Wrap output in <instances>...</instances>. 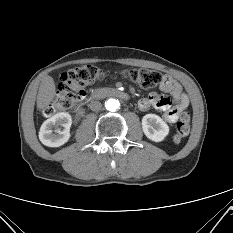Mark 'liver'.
Segmentation results:
<instances>
[{
  "label": "liver",
  "instance_id": "1",
  "mask_svg": "<svg viewBox=\"0 0 233 233\" xmlns=\"http://www.w3.org/2000/svg\"><path fill=\"white\" fill-rule=\"evenodd\" d=\"M56 95V86L51 76H45L40 84L37 94V109L42 110L46 108L54 99Z\"/></svg>",
  "mask_w": 233,
  "mask_h": 233
}]
</instances>
